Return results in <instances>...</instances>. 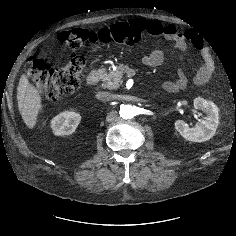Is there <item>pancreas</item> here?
Masks as SVG:
<instances>
[{
	"label": "pancreas",
	"instance_id": "1",
	"mask_svg": "<svg viewBox=\"0 0 236 236\" xmlns=\"http://www.w3.org/2000/svg\"><path fill=\"white\" fill-rule=\"evenodd\" d=\"M123 73L132 76L135 72L129 68V66L125 64H119L114 71H110L109 73H103L101 80H102V87L107 89H117L120 86L121 78Z\"/></svg>",
	"mask_w": 236,
	"mask_h": 236
}]
</instances>
